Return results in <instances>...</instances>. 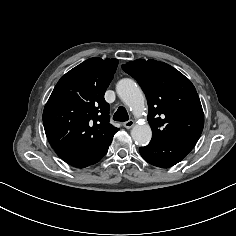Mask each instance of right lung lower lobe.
Listing matches in <instances>:
<instances>
[{
    "label": "right lung lower lobe",
    "mask_w": 236,
    "mask_h": 236,
    "mask_svg": "<svg viewBox=\"0 0 236 236\" xmlns=\"http://www.w3.org/2000/svg\"><path fill=\"white\" fill-rule=\"evenodd\" d=\"M112 139L108 141L103 147L96 150H71L59 148L55 149L56 154L69 165L76 168H84L100 161L107 153Z\"/></svg>",
    "instance_id": "1"
}]
</instances>
